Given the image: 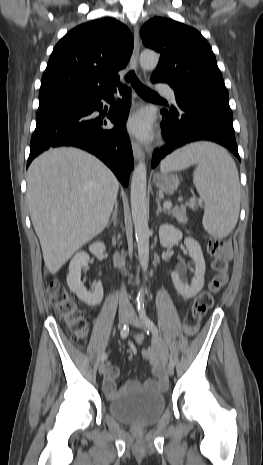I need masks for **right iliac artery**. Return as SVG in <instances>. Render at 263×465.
Segmentation results:
<instances>
[{"label":"right iliac artery","mask_w":263,"mask_h":465,"mask_svg":"<svg viewBox=\"0 0 263 465\" xmlns=\"http://www.w3.org/2000/svg\"><path fill=\"white\" fill-rule=\"evenodd\" d=\"M129 333V326L128 324H124V326L121 329L120 336L122 339H125L128 336ZM107 359V353H104L101 357L102 362H104Z\"/></svg>","instance_id":"82829eb1"}]
</instances>
